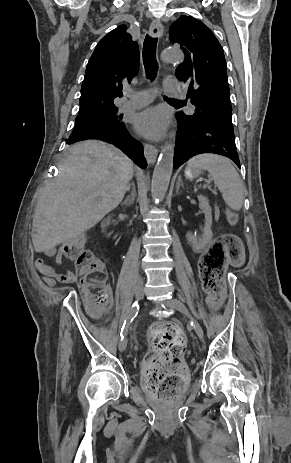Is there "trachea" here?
I'll return each instance as SVG.
<instances>
[{
	"mask_svg": "<svg viewBox=\"0 0 291 463\" xmlns=\"http://www.w3.org/2000/svg\"><path fill=\"white\" fill-rule=\"evenodd\" d=\"M157 38L150 37L146 35L143 43V64L145 67L146 75L152 81L155 79L158 69V64L156 61V47H157ZM170 101H175L179 103H184L183 101L167 98Z\"/></svg>",
	"mask_w": 291,
	"mask_h": 463,
	"instance_id": "1",
	"label": "trachea"
}]
</instances>
